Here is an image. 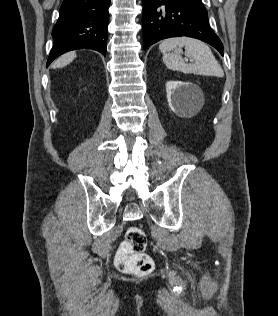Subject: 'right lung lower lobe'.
<instances>
[{
  "mask_svg": "<svg viewBox=\"0 0 278 316\" xmlns=\"http://www.w3.org/2000/svg\"><path fill=\"white\" fill-rule=\"evenodd\" d=\"M110 0H64L52 31L47 67L61 54L81 48L106 54Z\"/></svg>",
  "mask_w": 278,
  "mask_h": 316,
  "instance_id": "98d812e1",
  "label": "right lung lower lobe"
}]
</instances>
